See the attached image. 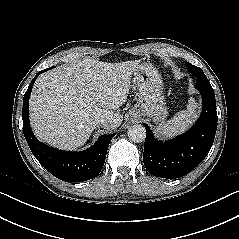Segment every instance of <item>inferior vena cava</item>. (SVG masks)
<instances>
[{"label": "inferior vena cava", "instance_id": "1", "mask_svg": "<svg viewBox=\"0 0 239 239\" xmlns=\"http://www.w3.org/2000/svg\"><path fill=\"white\" fill-rule=\"evenodd\" d=\"M97 122L99 124H102V125H107L110 123V118L109 117H100L99 119H97Z\"/></svg>", "mask_w": 239, "mask_h": 239}]
</instances>
